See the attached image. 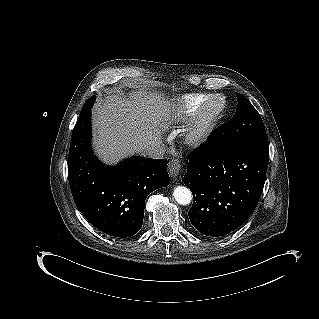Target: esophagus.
I'll list each match as a JSON object with an SVG mask.
<instances>
[{"instance_id": "obj_1", "label": "esophagus", "mask_w": 319, "mask_h": 319, "mask_svg": "<svg viewBox=\"0 0 319 319\" xmlns=\"http://www.w3.org/2000/svg\"><path fill=\"white\" fill-rule=\"evenodd\" d=\"M181 170V163L177 159H173L168 163V172L171 178L178 176Z\"/></svg>"}]
</instances>
